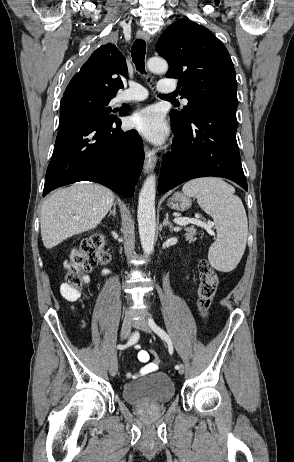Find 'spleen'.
<instances>
[{
    "mask_svg": "<svg viewBox=\"0 0 294 462\" xmlns=\"http://www.w3.org/2000/svg\"><path fill=\"white\" fill-rule=\"evenodd\" d=\"M182 191L196 197L215 222L217 238L208 252L211 266L222 272L232 271L244 254L248 234L246 212L241 199L234 195V187L220 178L205 177L185 183Z\"/></svg>",
    "mask_w": 294,
    "mask_h": 462,
    "instance_id": "obj_1",
    "label": "spleen"
}]
</instances>
